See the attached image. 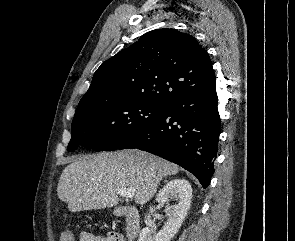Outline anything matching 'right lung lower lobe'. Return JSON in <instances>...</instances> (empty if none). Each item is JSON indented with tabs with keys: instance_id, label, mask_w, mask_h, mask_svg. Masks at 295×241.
Listing matches in <instances>:
<instances>
[{
	"instance_id": "1",
	"label": "right lung lower lobe",
	"mask_w": 295,
	"mask_h": 241,
	"mask_svg": "<svg viewBox=\"0 0 295 241\" xmlns=\"http://www.w3.org/2000/svg\"><path fill=\"white\" fill-rule=\"evenodd\" d=\"M217 104L215 82L175 97L117 149L138 148L158 155L187 169L207 187L218 151L221 121Z\"/></svg>"
}]
</instances>
